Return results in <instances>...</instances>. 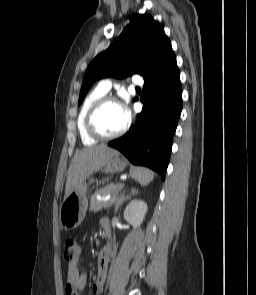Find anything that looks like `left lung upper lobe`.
<instances>
[{
	"instance_id": "obj_1",
	"label": "left lung upper lobe",
	"mask_w": 256,
	"mask_h": 295,
	"mask_svg": "<svg viewBox=\"0 0 256 295\" xmlns=\"http://www.w3.org/2000/svg\"><path fill=\"white\" fill-rule=\"evenodd\" d=\"M175 62L176 56L162 25L150 15L135 14L114 43L96 56L87 68L79 105L91 85L100 78H123L138 73L148 79Z\"/></svg>"
}]
</instances>
